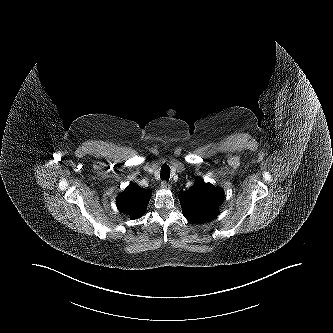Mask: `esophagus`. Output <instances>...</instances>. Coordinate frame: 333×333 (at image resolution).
<instances>
[{"instance_id": "esophagus-1", "label": "esophagus", "mask_w": 333, "mask_h": 333, "mask_svg": "<svg viewBox=\"0 0 333 333\" xmlns=\"http://www.w3.org/2000/svg\"><path fill=\"white\" fill-rule=\"evenodd\" d=\"M161 188L164 190H168V189H170V184L167 181L163 180L161 182Z\"/></svg>"}]
</instances>
